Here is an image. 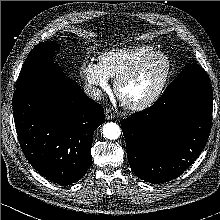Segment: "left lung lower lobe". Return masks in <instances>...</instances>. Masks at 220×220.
<instances>
[{
  "label": "left lung lower lobe",
  "mask_w": 220,
  "mask_h": 220,
  "mask_svg": "<svg viewBox=\"0 0 220 220\" xmlns=\"http://www.w3.org/2000/svg\"><path fill=\"white\" fill-rule=\"evenodd\" d=\"M210 82L164 92L149 108L121 122L131 169L144 181L163 183L181 175L203 150L211 128Z\"/></svg>",
  "instance_id": "0a47b994"
}]
</instances>
